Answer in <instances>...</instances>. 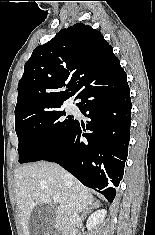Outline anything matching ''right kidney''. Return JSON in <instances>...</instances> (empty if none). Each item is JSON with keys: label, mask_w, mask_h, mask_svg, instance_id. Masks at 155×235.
<instances>
[{"label": "right kidney", "mask_w": 155, "mask_h": 235, "mask_svg": "<svg viewBox=\"0 0 155 235\" xmlns=\"http://www.w3.org/2000/svg\"><path fill=\"white\" fill-rule=\"evenodd\" d=\"M107 211L104 209L101 210H97L96 212L92 213L88 219H87V223L86 226L88 228V230H92L97 228V226L101 223H103V220L106 216Z\"/></svg>", "instance_id": "obj_1"}]
</instances>
